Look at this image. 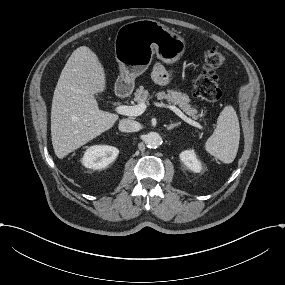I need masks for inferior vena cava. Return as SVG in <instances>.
<instances>
[{
  "instance_id": "inferior-vena-cava-1",
  "label": "inferior vena cava",
  "mask_w": 285,
  "mask_h": 285,
  "mask_svg": "<svg viewBox=\"0 0 285 285\" xmlns=\"http://www.w3.org/2000/svg\"><path fill=\"white\" fill-rule=\"evenodd\" d=\"M140 128V123L134 120L122 119L119 122V130L123 132H137Z\"/></svg>"
}]
</instances>
